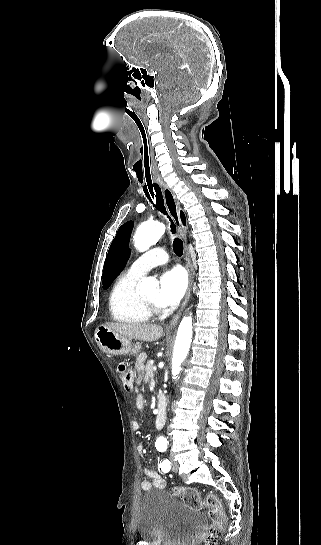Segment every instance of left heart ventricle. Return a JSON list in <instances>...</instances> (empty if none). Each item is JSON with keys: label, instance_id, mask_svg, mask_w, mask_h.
Masks as SVG:
<instances>
[{"label": "left heart ventricle", "instance_id": "b2bd125f", "mask_svg": "<svg viewBox=\"0 0 321 545\" xmlns=\"http://www.w3.org/2000/svg\"><path fill=\"white\" fill-rule=\"evenodd\" d=\"M141 299H142L145 303H147V304H149V305H155V303H156V298H155V297H141Z\"/></svg>", "mask_w": 321, "mask_h": 545}]
</instances>
